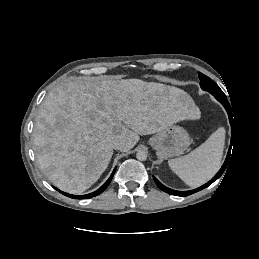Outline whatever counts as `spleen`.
Listing matches in <instances>:
<instances>
[{
    "instance_id": "obj_1",
    "label": "spleen",
    "mask_w": 259,
    "mask_h": 259,
    "mask_svg": "<svg viewBox=\"0 0 259 259\" xmlns=\"http://www.w3.org/2000/svg\"><path fill=\"white\" fill-rule=\"evenodd\" d=\"M224 145L225 129L220 127L189 154L170 159L169 167L188 186H200L210 180L219 170Z\"/></svg>"
}]
</instances>
